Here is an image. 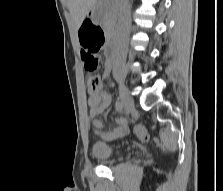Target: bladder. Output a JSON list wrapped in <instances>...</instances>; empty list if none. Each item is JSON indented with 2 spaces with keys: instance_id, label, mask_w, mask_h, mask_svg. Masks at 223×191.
<instances>
[{
  "instance_id": "31cf9c89",
  "label": "bladder",
  "mask_w": 223,
  "mask_h": 191,
  "mask_svg": "<svg viewBox=\"0 0 223 191\" xmlns=\"http://www.w3.org/2000/svg\"><path fill=\"white\" fill-rule=\"evenodd\" d=\"M120 149L104 142H95L92 146V156L99 161H108L119 155Z\"/></svg>"
}]
</instances>
